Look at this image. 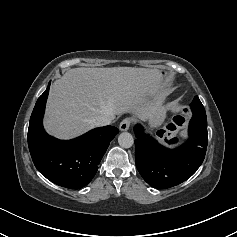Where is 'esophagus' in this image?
Wrapping results in <instances>:
<instances>
[{
  "instance_id": "34e87169",
  "label": "esophagus",
  "mask_w": 237,
  "mask_h": 237,
  "mask_svg": "<svg viewBox=\"0 0 237 237\" xmlns=\"http://www.w3.org/2000/svg\"><path fill=\"white\" fill-rule=\"evenodd\" d=\"M131 124H132V120L130 118H125L124 120L121 121L119 125V129L121 131H127L129 130Z\"/></svg>"
}]
</instances>
